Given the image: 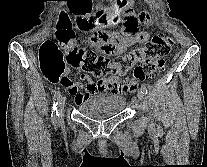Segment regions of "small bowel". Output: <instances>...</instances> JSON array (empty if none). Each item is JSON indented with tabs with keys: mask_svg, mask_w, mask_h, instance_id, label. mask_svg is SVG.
Wrapping results in <instances>:
<instances>
[{
	"mask_svg": "<svg viewBox=\"0 0 207 167\" xmlns=\"http://www.w3.org/2000/svg\"><path fill=\"white\" fill-rule=\"evenodd\" d=\"M92 4L93 1H69L68 9H71L73 17L80 19L77 20V24L81 28H95L93 34L88 38V43L97 53L105 56L119 57L130 47L136 44H144L150 39L148 32H138L137 30L142 23L151 22V17L148 13H141L139 15L126 13L121 34L104 30L109 24H121V20L118 19L124 17V13H108L109 9L111 11H120L121 9L126 11L129 9L130 0L107 1L108 5L101 7V10H99L101 17L97 19L87 17V14H91ZM122 74L123 72L113 64L112 72L107 78L93 80L88 74L78 72L76 80H73L70 68L64 66L62 77L58 83L70 95L74 96L77 104H82L93 95H122L135 91L137 83L122 80Z\"/></svg>",
	"mask_w": 207,
	"mask_h": 167,
	"instance_id": "small-bowel-1",
	"label": "small bowel"
}]
</instances>
